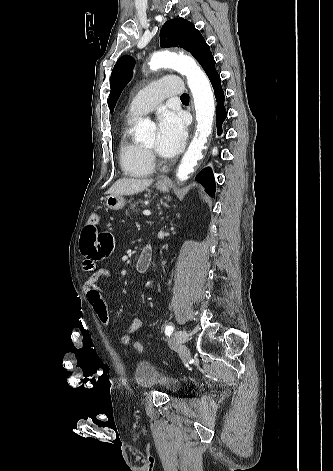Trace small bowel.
I'll return each instance as SVG.
<instances>
[{
  "mask_svg": "<svg viewBox=\"0 0 333 471\" xmlns=\"http://www.w3.org/2000/svg\"><path fill=\"white\" fill-rule=\"evenodd\" d=\"M112 249V236L107 233H99L96 226L87 223L80 238V251L84 258L83 268L88 274L84 283V290L89 305L104 325H109L111 319L99 285L104 280L110 278V271L98 266V263L108 256ZM141 326V320L134 318L128 326L126 334L120 337V343L122 345H129L130 335L137 332Z\"/></svg>",
  "mask_w": 333,
  "mask_h": 471,
  "instance_id": "obj_1",
  "label": "small bowel"
}]
</instances>
